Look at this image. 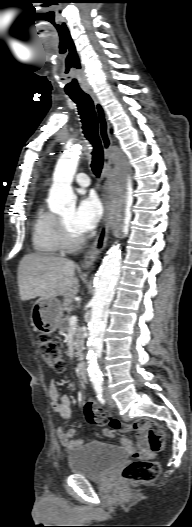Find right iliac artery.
I'll return each mask as SVG.
<instances>
[{
	"instance_id": "right-iliac-artery-1",
	"label": "right iliac artery",
	"mask_w": 192,
	"mask_h": 527,
	"mask_svg": "<svg viewBox=\"0 0 192 527\" xmlns=\"http://www.w3.org/2000/svg\"><path fill=\"white\" fill-rule=\"evenodd\" d=\"M94 388H95V391H96V393H97V398H98V400H99L101 403H104L105 400H104V398H103V387H102V385H101V384H96V385L94 386Z\"/></svg>"
}]
</instances>
